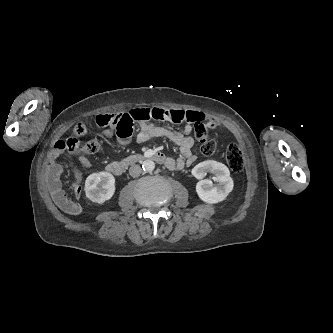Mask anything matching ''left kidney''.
Listing matches in <instances>:
<instances>
[{
  "instance_id": "left-kidney-1",
  "label": "left kidney",
  "mask_w": 333,
  "mask_h": 333,
  "mask_svg": "<svg viewBox=\"0 0 333 333\" xmlns=\"http://www.w3.org/2000/svg\"><path fill=\"white\" fill-rule=\"evenodd\" d=\"M209 172L215 175L213 180L217 184L214 185L209 179L200 180L196 185V192L202 201L215 204L226 199L234 184L229 169L223 163L207 160L192 169V174L197 179H203Z\"/></svg>"
}]
</instances>
